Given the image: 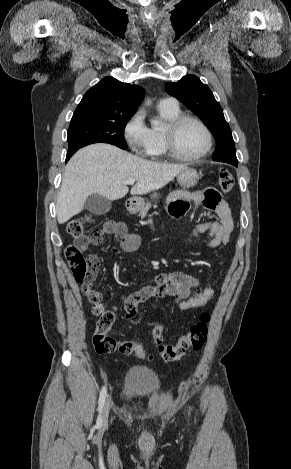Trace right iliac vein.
Masks as SVG:
<instances>
[{
  "label": "right iliac vein",
  "instance_id": "63e3f726",
  "mask_svg": "<svg viewBox=\"0 0 291 469\" xmlns=\"http://www.w3.org/2000/svg\"><path fill=\"white\" fill-rule=\"evenodd\" d=\"M109 411H110V402L109 400H107L104 405L103 413H102V425L103 426H105L108 422Z\"/></svg>",
  "mask_w": 291,
  "mask_h": 469
}]
</instances>
